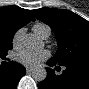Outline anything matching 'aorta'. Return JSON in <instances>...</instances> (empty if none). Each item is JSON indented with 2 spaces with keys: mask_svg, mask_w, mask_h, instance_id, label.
<instances>
[{
  "mask_svg": "<svg viewBox=\"0 0 89 89\" xmlns=\"http://www.w3.org/2000/svg\"><path fill=\"white\" fill-rule=\"evenodd\" d=\"M23 45L28 50H39L44 47V43L34 34H26L23 39ZM46 76V69L41 66L32 72L33 79L38 82L45 80Z\"/></svg>",
  "mask_w": 89,
  "mask_h": 89,
  "instance_id": "aorta-1",
  "label": "aorta"
}]
</instances>
